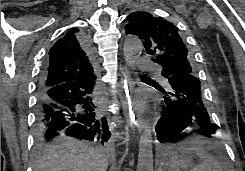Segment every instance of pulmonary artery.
<instances>
[{"mask_svg":"<svg viewBox=\"0 0 245 171\" xmlns=\"http://www.w3.org/2000/svg\"><path fill=\"white\" fill-rule=\"evenodd\" d=\"M138 64H139V69L145 70L148 68H151L155 66V64L147 57L140 56L137 58Z\"/></svg>","mask_w":245,"mask_h":171,"instance_id":"obj_1","label":"pulmonary artery"}]
</instances>
